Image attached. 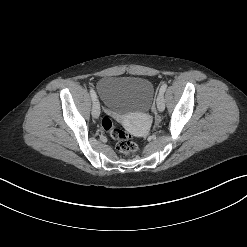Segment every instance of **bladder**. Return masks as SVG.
<instances>
[{"mask_svg": "<svg viewBox=\"0 0 247 247\" xmlns=\"http://www.w3.org/2000/svg\"><path fill=\"white\" fill-rule=\"evenodd\" d=\"M99 97L116 116L146 112L153 99L152 83L140 77H103L96 86Z\"/></svg>", "mask_w": 247, "mask_h": 247, "instance_id": "bladder-1", "label": "bladder"}]
</instances>
